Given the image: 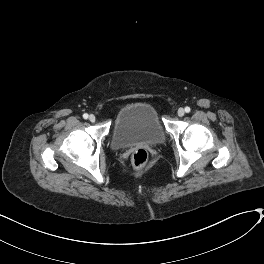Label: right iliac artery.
Listing matches in <instances>:
<instances>
[{"label": "right iliac artery", "instance_id": "right-iliac-artery-1", "mask_svg": "<svg viewBox=\"0 0 264 264\" xmlns=\"http://www.w3.org/2000/svg\"><path fill=\"white\" fill-rule=\"evenodd\" d=\"M83 118L87 119L88 118V114L87 113L83 114Z\"/></svg>", "mask_w": 264, "mask_h": 264}]
</instances>
